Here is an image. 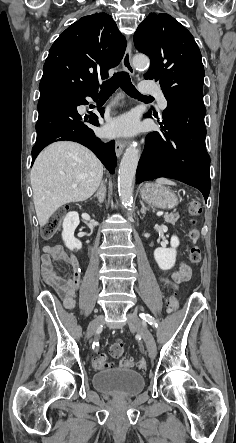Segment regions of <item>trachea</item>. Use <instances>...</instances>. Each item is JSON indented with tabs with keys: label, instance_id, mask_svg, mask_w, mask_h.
<instances>
[{
	"label": "trachea",
	"instance_id": "obj_1",
	"mask_svg": "<svg viewBox=\"0 0 236 443\" xmlns=\"http://www.w3.org/2000/svg\"><path fill=\"white\" fill-rule=\"evenodd\" d=\"M119 87H121V89L131 97L138 98L143 101L152 99L150 96L141 95L132 84L129 74L123 71L115 73L111 79L105 81L101 85L100 96L109 97Z\"/></svg>",
	"mask_w": 236,
	"mask_h": 443
}]
</instances>
